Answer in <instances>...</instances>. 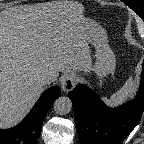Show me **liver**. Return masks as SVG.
<instances>
[{"instance_id": "6515ba94", "label": "liver", "mask_w": 144, "mask_h": 144, "mask_svg": "<svg viewBox=\"0 0 144 144\" xmlns=\"http://www.w3.org/2000/svg\"><path fill=\"white\" fill-rule=\"evenodd\" d=\"M83 12L67 0L0 12V128L26 116L44 90V74L91 70Z\"/></svg>"}]
</instances>
